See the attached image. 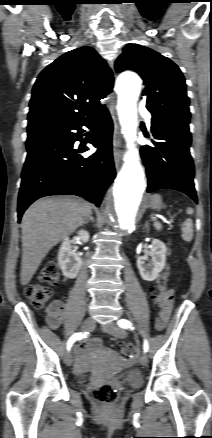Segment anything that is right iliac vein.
Instances as JSON below:
<instances>
[{
	"label": "right iliac vein",
	"mask_w": 212,
	"mask_h": 438,
	"mask_svg": "<svg viewBox=\"0 0 212 438\" xmlns=\"http://www.w3.org/2000/svg\"><path fill=\"white\" fill-rule=\"evenodd\" d=\"M95 328V320L92 317L86 318L81 326L83 331H92ZM65 363L71 366L73 363V358L71 352L67 353L65 356Z\"/></svg>",
	"instance_id": "1"
}]
</instances>
